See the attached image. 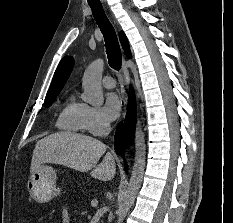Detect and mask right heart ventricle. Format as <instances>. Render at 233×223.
Instances as JSON below:
<instances>
[{"label": "right heart ventricle", "instance_id": "1", "mask_svg": "<svg viewBox=\"0 0 233 223\" xmlns=\"http://www.w3.org/2000/svg\"><path fill=\"white\" fill-rule=\"evenodd\" d=\"M84 109L83 103L70 96L56 114L55 127L65 132L81 131L83 129Z\"/></svg>", "mask_w": 233, "mask_h": 223}]
</instances>
